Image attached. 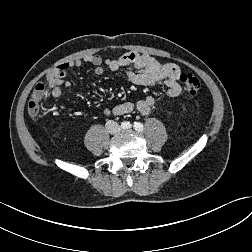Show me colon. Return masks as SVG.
I'll return each instance as SVG.
<instances>
[{"label":"colon","mask_w":252,"mask_h":252,"mask_svg":"<svg viewBox=\"0 0 252 252\" xmlns=\"http://www.w3.org/2000/svg\"><path fill=\"white\" fill-rule=\"evenodd\" d=\"M55 79L57 75L55 74ZM180 82L184 85L187 92L191 95H196L201 89V82L199 78L192 73H182L179 77ZM48 83V82H47ZM46 85L44 83L36 84L32 98L28 103V113L35 117L40 114L42 110V98L44 96Z\"/></svg>","instance_id":"obj_1"}]
</instances>
